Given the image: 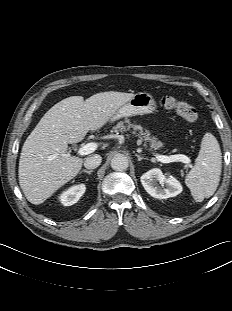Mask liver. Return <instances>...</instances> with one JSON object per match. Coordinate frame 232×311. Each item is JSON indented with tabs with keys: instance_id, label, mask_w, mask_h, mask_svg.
<instances>
[{
	"instance_id": "6515ba94",
	"label": "liver",
	"mask_w": 232,
	"mask_h": 311,
	"mask_svg": "<svg viewBox=\"0 0 232 311\" xmlns=\"http://www.w3.org/2000/svg\"><path fill=\"white\" fill-rule=\"evenodd\" d=\"M133 93L101 92L84 101L65 98L51 107L23 144L19 184L26 199L39 205L81 170L83 159L71 156L68 144L78 143L91 130L103 127Z\"/></svg>"
}]
</instances>
